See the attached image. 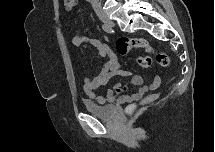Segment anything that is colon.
Returning a JSON list of instances; mask_svg holds the SVG:
<instances>
[{
    "label": "colon",
    "instance_id": "5ec220e1",
    "mask_svg": "<svg viewBox=\"0 0 215 152\" xmlns=\"http://www.w3.org/2000/svg\"><path fill=\"white\" fill-rule=\"evenodd\" d=\"M63 3H64L65 10L70 12L75 8L77 1L76 0H64ZM131 48H143L148 53H150V55L139 56L137 58V63L142 68H149L152 65L153 57L155 58L156 62L163 67H166L170 64V58L166 52L154 50L150 46V44L147 41H145L144 39L123 38L117 42V51L121 55H126ZM154 98H156V95L148 96L144 100V102L147 103L149 101H152ZM134 109H135V105H130L127 107L126 112L128 114H131L134 111Z\"/></svg>",
    "mask_w": 215,
    "mask_h": 152
}]
</instances>
